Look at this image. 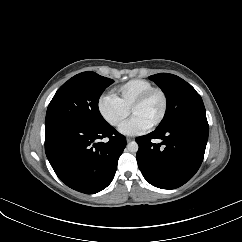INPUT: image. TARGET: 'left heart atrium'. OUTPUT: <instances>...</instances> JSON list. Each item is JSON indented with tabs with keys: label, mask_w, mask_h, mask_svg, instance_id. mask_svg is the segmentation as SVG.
<instances>
[{
	"label": "left heart atrium",
	"mask_w": 242,
	"mask_h": 242,
	"mask_svg": "<svg viewBox=\"0 0 242 242\" xmlns=\"http://www.w3.org/2000/svg\"><path fill=\"white\" fill-rule=\"evenodd\" d=\"M148 129L149 126L146 123L137 117H132L128 122L121 126L120 132L125 135L135 136L145 132Z\"/></svg>",
	"instance_id": "39dd6f15"
}]
</instances>
